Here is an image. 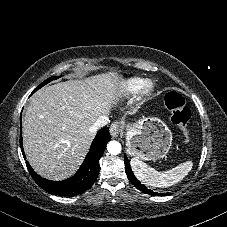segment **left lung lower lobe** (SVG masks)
<instances>
[{"label":"left lung lower lobe","instance_id":"obj_1","mask_svg":"<svg viewBox=\"0 0 227 227\" xmlns=\"http://www.w3.org/2000/svg\"><path fill=\"white\" fill-rule=\"evenodd\" d=\"M124 162H125V170H126L127 176H128V178H129V180L131 181V183H132L137 189H139V190H141V191H143V192H145V193H147V194L154 195L155 193H154L152 190L147 189L143 184H141V183L136 179V177L134 176V174H133V172H132V170H131V167H130V165H129V161H128L126 155H125V160H124ZM166 194H168V193H166ZM159 195H165V194L159 193Z\"/></svg>","mask_w":227,"mask_h":227}]
</instances>
